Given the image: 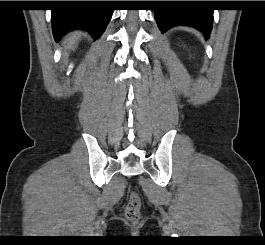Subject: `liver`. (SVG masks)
<instances>
[{
  "label": "liver",
  "instance_id": "obj_1",
  "mask_svg": "<svg viewBox=\"0 0 265 245\" xmlns=\"http://www.w3.org/2000/svg\"><path fill=\"white\" fill-rule=\"evenodd\" d=\"M65 42L70 49L75 50V48L77 47V44L75 42V34H72L69 38H66Z\"/></svg>",
  "mask_w": 265,
  "mask_h": 245
}]
</instances>
